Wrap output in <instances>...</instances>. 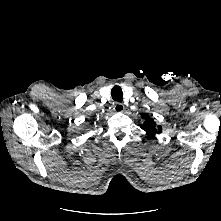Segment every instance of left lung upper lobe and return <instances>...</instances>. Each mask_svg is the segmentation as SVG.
Masks as SVG:
<instances>
[{
  "mask_svg": "<svg viewBox=\"0 0 221 221\" xmlns=\"http://www.w3.org/2000/svg\"><path fill=\"white\" fill-rule=\"evenodd\" d=\"M142 118L145 122L141 125V128L146 132L148 136H155L161 131V126H156L153 121V118L142 114Z\"/></svg>",
  "mask_w": 221,
  "mask_h": 221,
  "instance_id": "obj_1",
  "label": "left lung upper lobe"
}]
</instances>
